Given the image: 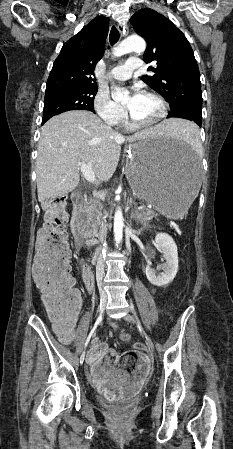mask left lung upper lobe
<instances>
[{"label": "left lung upper lobe", "mask_w": 233, "mask_h": 449, "mask_svg": "<svg viewBox=\"0 0 233 449\" xmlns=\"http://www.w3.org/2000/svg\"><path fill=\"white\" fill-rule=\"evenodd\" d=\"M134 30L147 42L144 61L156 62L142 80L170 104L169 114L194 121L202 117V92L199 69L193 50L184 34L166 17L146 8L130 19Z\"/></svg>", "instance_id": "left-lung-upper-lobe-1"}]
</instances>
